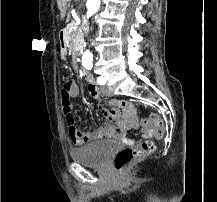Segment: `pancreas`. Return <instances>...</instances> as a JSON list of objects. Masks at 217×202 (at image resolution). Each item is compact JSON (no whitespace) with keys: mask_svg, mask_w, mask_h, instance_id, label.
I'll return each instance as SVG.
<instances>
[{"mask_svg":"<svg viewBox=\"0 0 217 202\" xmlns=\"http://www.w3.org/2000/svg\"><path fill=\"white\" fill-rule=\"evenodd\" d=\"M70 28H75V25H69L66 29L70 30ZM68 46L70 48V50H74V52H77V42H80V44H82L83 42V34L80 30V28H77V30H73V32H71V34H69V38H68Z\"/></svg>","mask_w":217,"mask_h":202,"instance_id":"cf45deb5","label":"pancreas"}]
</instances>
